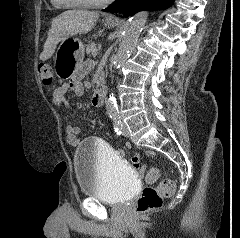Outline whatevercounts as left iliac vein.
<instances>
[{
    "label": "left iliac vein",
    "mask_w": 240,
    "mask_h": 238,
    "mask_svg": "<svg viewBox=\"0 0 240 238\" xmlns=\"http://www.w3.org/2000/svg\"><path fill=\"white\" fill-rule=\"evenodd\" d=\"M122 133L124 136L128 137L130 132H129V128L125 123H122Z\"/></svg>",
    "instance_id": "left-iliac-vein-1"
}]
</instances>
